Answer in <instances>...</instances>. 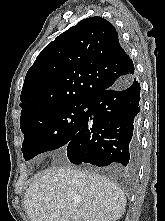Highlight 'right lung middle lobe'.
<instances>
[{"mask_svg":"<svg viewBox=\"0 0 165 221\" xmlns=\"http://www.w3.org/2000/svg\"><path fill=\"white\" fill-rule=\"evenodd\" d=\"M88 118L89 103H83L50 109L21 122L24 159L28 161L40 153L68 144Z\"/></svg>","mask_w":165,"mask_h":221,"instance_id":"obj_1","label":"right lung middle lobe"}]
</instances>
